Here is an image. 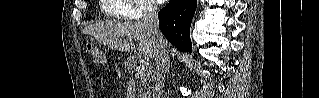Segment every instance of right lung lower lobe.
Instances as JSON below:
<instances>
[{"instance_id": "obj_1", "label": "right lung lower lobe", "mask_w": 319, "mask_h": 98, "mask_svg": "<svg viewBox=\"0 0 319 98\" xmlns=\"http://www.w3.org/2000/svg\"><path fill=\"white\" fill-rule=\"evenodd\" d=\"M197 0H171L160 12L159 28L182 52H191L190 26Z\"/></svg>"}]
</instances>
